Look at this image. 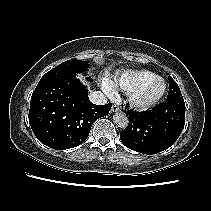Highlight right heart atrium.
<instances>
[{
  "label": "right heart atrium",
  "mask_w": 211,
  "mask_h": 211,
  "mask_svg": "<svg viewBox=\"0 0 211 211\" xmlns=\"http://www.w3.org/2000/svg\"><path fill=\"white\" fill-rule=\"evenodd\" d=\"M102 88L110 97H116L117 93L113 83L109 79H104L102 83Z\"/></svg>",
  "instance_id": "right-heart-atrium-1"
}]
</instances>
